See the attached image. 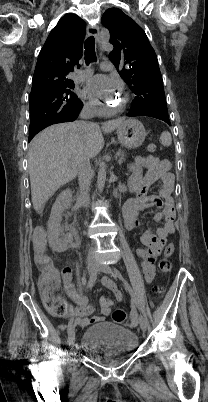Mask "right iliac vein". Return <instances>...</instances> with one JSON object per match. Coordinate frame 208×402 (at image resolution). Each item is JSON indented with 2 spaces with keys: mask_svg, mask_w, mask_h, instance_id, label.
I'll return each instance as SVG.
<instances>
[{
  "mask_svg": "<svg viewBox=\"0 0 208 402\" xmlns=\"http://www.w3.org/2000/svg\"><path fill=\"white\" fill-rule=\"evenodd\" d=\"M96 267H97L96 260L94 258H89L87 261V270L90 277H92L93 274L95 273ZM68 343L70 346H74L75 344V326H72L70 332L68 333Z\"/></svg>",
  "mask_w": 208,
  "mask_h": 402,
  "instance_id": "63e3f726",
  "label": "right iliac vein"
}]
</instances>
